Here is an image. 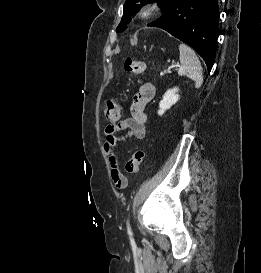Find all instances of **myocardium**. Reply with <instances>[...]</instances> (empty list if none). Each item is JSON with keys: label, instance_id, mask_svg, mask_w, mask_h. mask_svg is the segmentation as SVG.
<instances>
[{"label": "myocardium", "instance_id": "myocardium-1", "mask_svg": "<svg viewBox=\"0 0 261 273\" xmlns=\"http://www.w3.org/2000/svg\"><path fill=\"white\" fill-rule=\"evenodd\" d=\"M160 10V5L157 3H148L140 7L137 12V17L141 21H147L151 19Z\"/></svg>", "mask_w": 261, "mask_h": 273}]
</instances>
